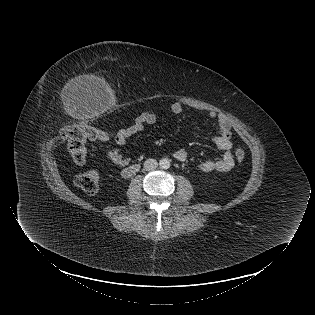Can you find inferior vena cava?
Segmentation results:
<instances>
[{"mask_svg": "<svg viewBox=\"0 0 315 315\" xmlns=\"http://www.w3.org/2000/svg\"><path fill=\"white\" fill-rule=\"evenodd\" d=\"M158 167V162L155 159H147L144 162V169L146 171H153Z\"/></svg>", "mask_w": 315, "mask_h": 315, "instance_id": "602c4592", "label": "inferior vena cava"}]
</instances>
